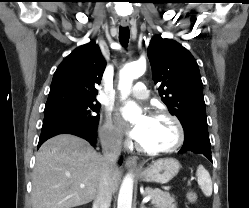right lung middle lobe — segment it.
Listing matches in <instances>:
<instances>
[{"label":"right lung middle lobe","mask_w":249,"mask_h":208,"mask_svg":"<svg viewBox=\"0 0 249 208\" xmlns=\"http://www.w3.org/2000/svg\"><path fill=\"white\" fill-rule=\"evenodd\" d=\"M94 100L69 102L55 106L45 107V117L72 120L88 126H96L99 121L101 104ZM96 113L98 115H96Z\"/></svg>","instance_id":"right-lung-middle-lobe-1"}]
</instances>
